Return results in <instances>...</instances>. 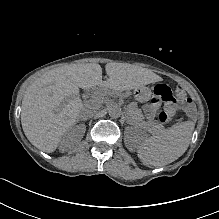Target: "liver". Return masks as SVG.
Masks as SVG:
<instances>
[{"mask_svg":"<svg viewBox=\"0 0 219 219\" xmlns=\"http://www.w3.org/2000/svg\"><path fill=\"white\" fill-rule=\"evenodd\" d=\"M109 80H102L99 64L67 65L43 73L25 92L21 124L28 140L45 152H53L60 135L76 122L84 111L94 115L106 95L95 94L82 102L80 88H111L116 91L135 89L151 83L152 73L140 66L107 64ZM63 102H65L63 104Z\"/></svg>","mask_w":219,"mask_h":219,"instance_id":"1","label":"liver"}]
</instances>
